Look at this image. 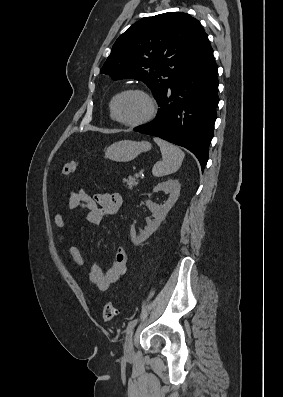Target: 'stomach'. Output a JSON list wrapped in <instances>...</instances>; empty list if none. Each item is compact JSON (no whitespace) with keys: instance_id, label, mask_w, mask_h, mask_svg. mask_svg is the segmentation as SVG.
Returning <instances> with one entry per match:
<instances>
[{"instance_id":"0dacf381","label":"stomach","mask_w":283,"mask_h":397,"mask_svg":"<svg viewBox=\"0 0 283 397\" xmlns=\"http://www.w3.org/2000/svg\"><path fill=\"white\" fill-rule=\"evenodd\" d=\"M151 144L147 141L121 140L111 144L105 151V157L116 162H129L140 153L149 151Z\"/></svg>"}]
</instances>
